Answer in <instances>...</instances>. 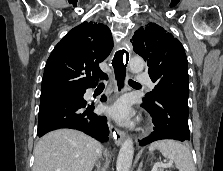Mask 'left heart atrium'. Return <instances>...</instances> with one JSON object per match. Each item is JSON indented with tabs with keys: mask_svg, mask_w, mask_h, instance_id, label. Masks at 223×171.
Returning <instances> with one entry per match:
<instances>
[{
	"mask_svg": "<svg viewBox=\"0 0 223 171\" xmlns=\"http://www.w3.org/2000/svg\"><path fill=\"white\" fill-rule=\"evenodd\" d=\"M106 112L119 123H128L132 116L131 108L124 99H119L107 107Z\"/></svg>",
	"mask_w": 223,
	"mask_h": 171,
	"instance_id": "obj_1",
	"label": "left heart atrium"
}]
</instances>
